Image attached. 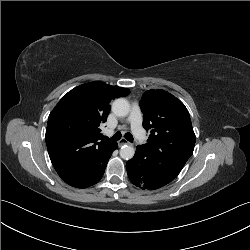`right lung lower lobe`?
<instances>
[{
  "instance_id": "obj_1",
  "label": "right lung lower lobe",
  "mask_w": 250,
  "mask_h": 250,
  "mask_svg": "<svg viewBox=\"0 0 250 250\" xmlns=\"http://www.w3.org/2000/svg\"><path fill=\"white\" fill-rule=\"evenodd\" d=\"M118 148V145H117V143H116V147H115V149H117ZM114 150V149H113ZM113 152V151H112ZM112 154V153H111ZM111 154L109 155V157H108V160H109V158H110V156H111ZM108 162V161H107ZM107 164V163H106ZM105 168H106V165H105V167L103 168V170H102V172H101V175H100V178H99V180L101 179V177L103 176V173H104V170H105ZM98 180V181H99Z\"/></svg>"
}]
</instances>
